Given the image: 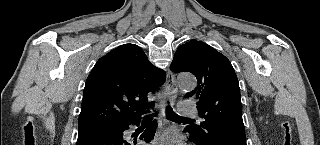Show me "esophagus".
<instances>
[{"label":"esophagus","instance_id":"34e87169","mask_svg":"<svg viewBox=\"0 0 320 145\" xmlns=\"http://www.w3.org/2000/svg\"><path fill=\"white\" fill-rule=\"evenodd\" d=\"M177 91L176 80L174 75L171 72H168L166 82L164 85V89L162 91V96L160 97L159 102V118H158V128L159 132H161L165 125L167 124V120L165 118V108L167 106L168 99L174 97Z\"/></svg>","mask_w":320,"mask_h":145}]
</instances>
